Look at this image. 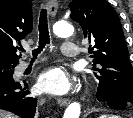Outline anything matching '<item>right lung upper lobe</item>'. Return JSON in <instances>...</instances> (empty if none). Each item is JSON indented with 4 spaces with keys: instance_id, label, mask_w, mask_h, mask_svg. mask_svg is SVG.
<instances>
[{
    "instance_id": "obj_1",
    "label": "right lung upper lobe",
    "mask_w": 133,
    "mask_h": 118,
    "mask_svg": "<svg viewBox=\"0 0 133 118\" xmlns=\"http://www.w3.org/2000/svg\"><path fill=\"white\" fill-rule=\"evenodd\" d=\"M32 31L29 0H0V65H16L17 44Z\"/></svg>"
}]
</instances>
